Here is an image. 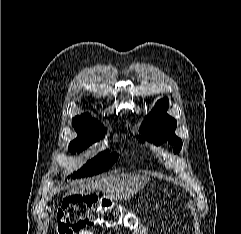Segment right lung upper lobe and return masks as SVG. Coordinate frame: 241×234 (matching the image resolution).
<instances>
[{"label": "right lung upper lobe", "mask_w": 241, "mask_h": 234, "mask_svg": "<svg viewBox=\"0 0 241 234\" xmlns=\"http://www.w3.org/2000/svg\"><path fill=\"white\" fill-rule=\"evenodd\" d=\"M72 125L78 130L105 132L101 124L88 113L73 118Z\"/></svg>", "instance_id": "cb5924a9"}]
</instances>
